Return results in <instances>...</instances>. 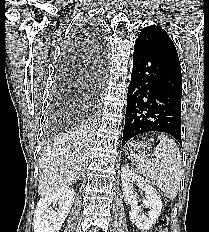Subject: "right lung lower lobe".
I'll list each match as a JSON object with an SVG mask.
<instances>
[{
  "label": "right lung lower lobe",
  "mask_w": 209,
  "mask_h": 232,
  "mask_svg": "<svg viewBox=\"0 0 209 232\" xmlns=\"http://www.w3.org/2000/svg\"><path fill=\"white\" fill-rule=\"evenodd\" d=\"M102 66L99 64H97V67H96V73L99 75L100 74V71H101V68Z\"/></svg>",
  "instance_id": "obj_1"
}]
</instances>
